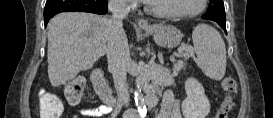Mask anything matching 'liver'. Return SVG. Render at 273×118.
I'll return each mask as SVG.
<instances>
[{
    "instance_id": "liver-1",
    "label": "liver",
    "mask_w": 273,
    "mask_h": 118,
    "mask_svg": "<svg viewBox=\"0 0 273 118\" xmlns=\"http://www.w3.org/2000/svg\"><path fill=\"white\" fill-rule=\"evenodd\" d=\"M109 19L86 12H63L48 24V77L52 86L72 80L107 52Z\"/></svg>"
}]
</instances>
